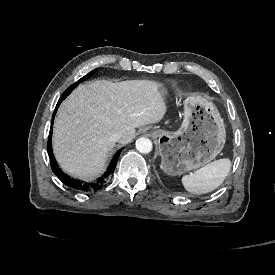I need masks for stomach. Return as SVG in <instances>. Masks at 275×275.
I'll use <instances>...</instances> for the list:
<instances>
[{"label": "stomach", "instance_id": "stomach-1", "mask_svg": "<svg viewBox=\"0 0 275 275\" xmlns=\"http://www.w3.org/2000/svg\"><path fill=\"white\" fill-rule=\"evenodd\" d=\"M162 91L167 94L168 88ZM161 169L168 175H181L197 169L222 151L226 130L217 107L200 95L184 101V119L177 131L156 130Z\"/></svg>", "mask_w": 275, "mask_h": 275}]
</instances>
